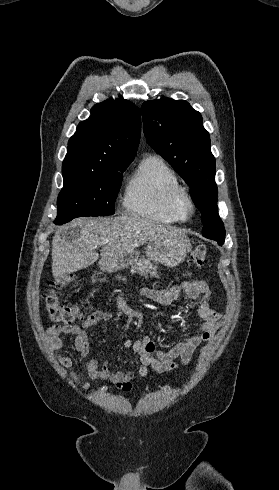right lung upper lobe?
<instances>
[{
    "label": "right lung upper lobe",
    "instance_id": "cb5924a9",
    "mask_svg": "<svg viewBox=\"0 0 279 490\" xmlns=\"http://www.w3.org/2000/svg\"><path fill=\"white\" fill-rule=\"evenodd\" d=\"M140 110L130 101L110 99L91 109L68 142L63 170L101 171L129 165L137 152Z\"/></svg>",
    "mask_w": 279,
    "mask_h": 490
}]
</instances>
